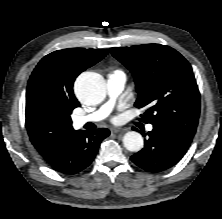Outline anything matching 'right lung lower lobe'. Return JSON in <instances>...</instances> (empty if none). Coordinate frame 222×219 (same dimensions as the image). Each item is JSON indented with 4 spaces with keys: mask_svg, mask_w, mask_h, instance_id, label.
<instances>
[{
    "mask_svg": "<svg viewBox=\"0 0 222 219\" xmlns=\"http://www.w3.org/2000/svg\"><path fill=\"white\" fill-rule=\"evenodd\" d=\"M109 134L106 128L77 131L50 163L51 167L57 172L71 175L82 171L93 161L101 141Z\"/></svg>",
    "mask_w": 222,
    "mask_h": 219,
    "instance_id": "1",
    "label": "right lung lower lobe"
}]
</instances>
